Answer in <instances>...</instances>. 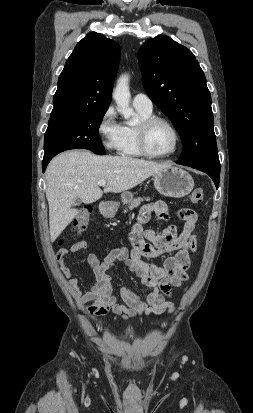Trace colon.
<instances>
[{
    "label": "colon",
    "instance_id": "colon-1",
    "mask_svg": "<svg viewBox=\"0 0 253 413\" xmlns=\"http://www.w3.org/2000/svg\"><path fill=\"white\" fill-rule=\"evenodd\" d=\"M203 198H204V192L201 188H195L190 194V201L193 204H200L203 201ZM91 214H92V207L90 205H85L81 209L76 219V222L74 224V229L76 233H81L87 228V224H88Z\"/></svg>",
    "mask_w": 253,
    "mask_h": 413
}]
</instances>
